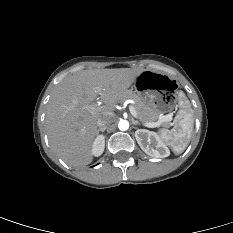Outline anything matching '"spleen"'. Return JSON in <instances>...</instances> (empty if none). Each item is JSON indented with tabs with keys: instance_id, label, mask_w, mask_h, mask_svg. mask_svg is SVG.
Returning a JSON list of instances; mask_svg holds the SVG:
<instances>
[{
	"instance_id": "1",
	"label": "spleen",
	"mask_w": 233,
	"mask_h": 233,
	"mask_svg": "<svg viewBox=\"0 0 233 233\" xmlns=\"http://www.w3.org/2000/svg\"><path fill=\"white\" fill-rule=\"evenodd\" d=\"M180 110L176 115L171 130L161 129V139L169 145L175 154H181L189 145L194 128L193 110L185 94L179 92Z\"/></svg>"
}]
</instances>
